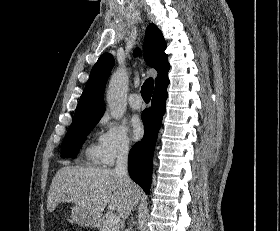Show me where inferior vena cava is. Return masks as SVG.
<instances>
[{"instance_id": "1", "label": "inferior vena cava", "mask_w": 280, "mask_h": 231, "mask_svg": "<svg viewBox=\"0 0 280 231\" xmlns=\"http://www.w3.org/2000/svg\"><path fill=\"white\" fill-rule=\"evenodd\" d=\"M128 149L129 145L127 141H122V143H119L115 173H117V175H120V177H123V179H126V183H131V179L128 175L127 169ZM125 231H130V229H125Z\"/></svg>"}]
</instances>
